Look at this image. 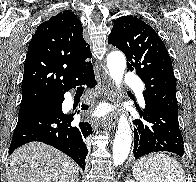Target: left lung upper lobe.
<instances>
[{"label": "left lung upper lobe", "mask_w": 196, "mask_h": 182, "mask_svg": "<svg viewBox=\"0 0 196 182\" xmlns=\"http://www.w3.org/2000/svg\"><path fill=\"white\" fill-rule=\"evenodd\" d=\"M108 43L126 55L128 70L136 69L146 85L143 96H152L178 115L171 59L155 30L134 16H123L114 22Z\"/></svg>", "instance_id": "1"}]
</instances>
